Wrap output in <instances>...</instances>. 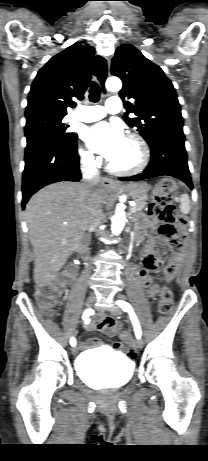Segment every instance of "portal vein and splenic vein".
Segmentation results:
<instances>
[{"instance_id":"18ae733b","label":"portal vein and splenic vein","mask_w":208,"mask_h":461,"mask_svg":"<svg viewBox=\"0 0 208 461\" xmlns=\"http://www.w3.org/2000/svg\"><path fill=\"white\" fill-rule=\"evenodd\" d=\"M135 206H136V204L134 202H130L131 210H133Z\"/></svg>"}]
</instances>
